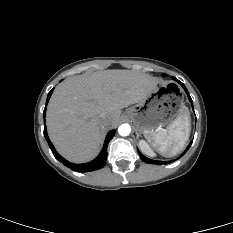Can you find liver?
<instances>
[{
	"label": "liver",
	"instance_id": "1",
	"mask_svg": "<svg viewBox=\"0 0 233 233\" xmlns=\"http://www.w3.org/2000/svg\"><path fill=\"white\" fill-rule=\"evenodd\" d=\"M159 80L133 70L73 76L54 90L47 107L48 134L57 151L75 163L95 158L103 130L118 124L121 110L144 100ZM104 117L108 124L101 126Z\"/></svg>",
	"mask_w": 233,
	"mask_h": 233
}]
</instances>
